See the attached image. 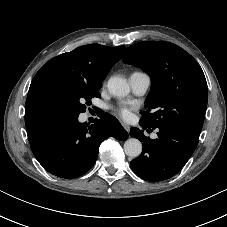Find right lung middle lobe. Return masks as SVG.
I'll return each mask as SVG.
<instances>
[{"mask_svg": "<svg viewBox=\"0 0 227 227\" xmlns=\"http://www.w3.org/2000/svg\"><path fill=\"white\" fill-rule=\"evenodd\" d=\"M101 85L78 84L70 88L64 97L65 119L78 117L86 110V105L91 103V98L99 97Z\"/></svg>", "mask_w": 227, "mask_h": 227, "instance_id": "1", "label": "right lung middle lobe"}]
</instances>
